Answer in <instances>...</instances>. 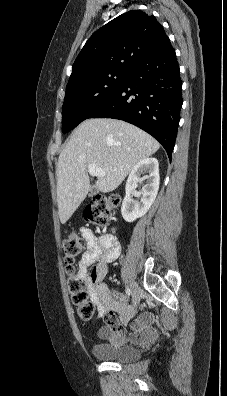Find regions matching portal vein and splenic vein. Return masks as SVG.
Returning <instances> with one entry per match:
<instances>
[{"instance_id":"obj_1","label":"portal vein and splenic vein","mask_w":227,"mask_h":396,"mask_svg":"<svg viewBox=\"0 0 227 396\" xmlns=\"http://www.w3.org/2000/svg\"><path fill=\"white\" fill-rule=\"evenodd\" d=\"M88 172L91 176L104 177L105 171L96 166L95 164L88 165Z\"/></svg>"}]
</instances>
